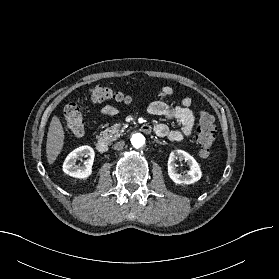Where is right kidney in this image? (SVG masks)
Listing matches in <instances>:
<instances>
[{"mask_svg": "<svg viewBox=\"0 0 279 279\" xmlns=\"http://www.w3.org/2000/svg\"><path fill=\"white\" fill-rule=\"evenodd\" d=\"M88 157L84 166L80 167L76 165V160L79 157ZM94 150L90 146H81L73 150L65 159L63 164V171L69 176L85 179L92 173V165L94 161Z\"/></svg>", "mask_w": 279, "mask_h": 279, "instance_id": "right-kidney-1", "label": "right kidney"}]
</instances>
